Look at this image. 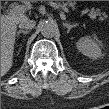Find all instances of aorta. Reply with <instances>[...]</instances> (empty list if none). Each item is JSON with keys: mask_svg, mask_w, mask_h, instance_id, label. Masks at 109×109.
<instances>
[{"mask_svg": "<svg viewBox=\"0 0 109 109\" xmlns=\"http://www.w3.org/2000/svg\"><path fill=\"white\" fill-rule=\"evenodd\" d=\"M41 34L46 38L54 37L58 32V27L53 22H43L40 26Z\"/></svg>", "mask_w": 109, "mask_h": 109, "instance_id": "762f6f07", "label": "aorta"}]
</instances>
